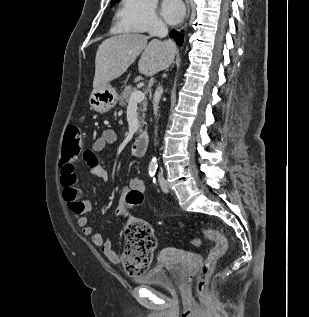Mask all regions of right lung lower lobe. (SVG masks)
I'll use <instances>...</instances> for the list:
<instances>
[{
  "mask_svg": "<svg viewBox=\"0 0 309 317\" xmlns=\"http://www.w3.org/2000/svg\"><path fill=\"white\" fill-rule=\"evenodd\" d=\"M170 37L174 39L179 46L183 44V34L178 31L172 30L170 33Z\"/></svg>",
  "mask_w": 309,
  "mask_h": 317,
  "instance_id": "right-lung-lower-lobe-1",
  "label": "right lung lower lobe"
}]
</instances>
